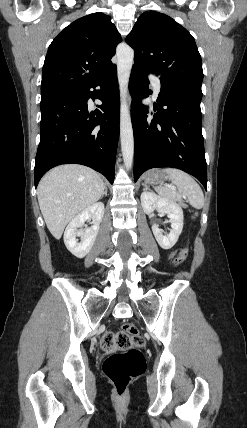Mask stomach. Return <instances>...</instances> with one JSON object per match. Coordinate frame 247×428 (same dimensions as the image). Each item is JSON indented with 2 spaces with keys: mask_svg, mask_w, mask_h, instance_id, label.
Returning a JSON list of instances; mask_svg holds the SVG:
<instances>
[{
  "mask_svg": "<svg viewBox=\"0 0 247 428\" xmlns=\"http://www.w3.org/2000/svg\"><path fill=\"white\" fill-rule=\"evenodd\" d=\"M163 178H165L164 171L154 170L147 175L145 182L146 183H152L155 181H160Z\"/></svg>",
  "mask_w": 247,
  "mask_h": 428,
  "instance_id": "obj_1",
  "label": "stomach"
}]
</instances>
